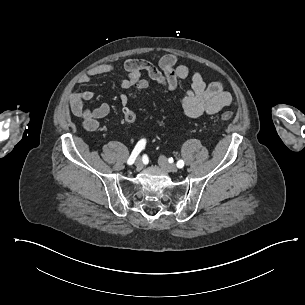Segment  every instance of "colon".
Returning <instances> with one entry per match:
<instances>
[{
    "mask_svg": "<svg viewBox=\"0 0 305 305\" xmlns=\"http://www.w3.org/2000/svg\"><path fill=\"white\" fill-rule=\"evenodd\" d=\"M148 86H149L148 81L145 79H142L139 81L137 86L132 87L131 92H132V94L137 95V94H139L140 91L147 89ZM232 116H233V112L226 111V112L221 113L220 117L223 120H228ZM136 119H137V114L134 111H129L124 115V121L126 123H129V124L134 123L136 121Z\"/></svg>",
    "mask_w": 305,
    "mask_h": 305,
    "instance_id": "obj_1",
    "label": "colon"
}]
</instances>
